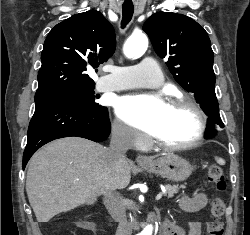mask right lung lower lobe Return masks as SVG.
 I'll return each mask as SVG.
<instances>
[{
	"mask_svg": "<svg viewBox=\"0 0 250 235\" xmlns=\"http://www.w3.org/2000/svg\"><path fill=\"white\" fill-rule=\"evenodd\" d=\"M109 133L110 121L106 107L91 108L67 101H38L28 128L23 169L31 156L52 140L77 136L100 142Z\"/></svg>",
	"mask_w": 250,
	"mask_h": 235,
	"instance_id": "right-lung-lower-lobe-1",
	"label": "right lung lower lobe"
}]
</instances>
